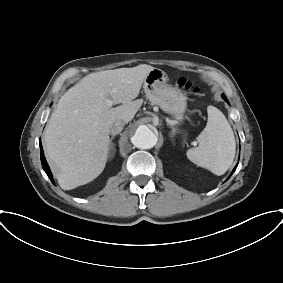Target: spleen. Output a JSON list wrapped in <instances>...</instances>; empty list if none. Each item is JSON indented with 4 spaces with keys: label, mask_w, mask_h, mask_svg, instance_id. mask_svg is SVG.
Here are the masks:
<instances>
[{
    "label": "spleen",
    "mask_w": 283,
    "mask_h": 283,
    "mask_svg": "<svg viewBox=\"0 0 283 283\" xmlns=\"http://www.w3.org/2000/svg\"><path fill=\"white\" fill-rule=\"evenodd\" d=\"M206 127L197 137L198 147L187 151L188 159L215 175H223L232 165L236 143L230 124L214 106L207 107Z\"/></svg>",
    "instance_id": "spleen-1"
}]
</instances>
